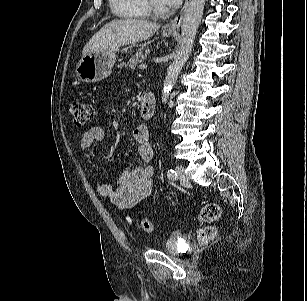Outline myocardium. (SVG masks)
Listing matches in <instances>:
<instances>
[{
    "label": "myocardium",
    "mask_w": 307,
    "mask_h": 301,
    "mask_svg": "<svg viewBox=\"0 0 307 301\" xmlns=\"http://www.w3.org/2000/svg\"><path fill=\"white\" fill-rule=\"evenodd\" d=\"M143 2H144V5H145L148 13H151L153 15H160L161 14L160 10L153 5L151 0H143Z\"/></svg>",
    "instance_id": "1"
}]
</instances>
